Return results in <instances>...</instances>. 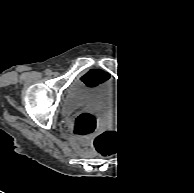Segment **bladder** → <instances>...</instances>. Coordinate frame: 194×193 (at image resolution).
I'll return each mask as SVG.
<instances>
[{
    "mask_svg": "<svg viewBox=\"0 0 194 193\" xmlns=\"http://www.w3.org/2000/svg\"><path fill=\"white\" fill-rule=\"evenodd\" d=\"M83 90L84 88L81 85L71 87L67 92L70 101L73 103L80 102L82 100Z\"/></svg>",
    "mask_w": 194,
    "mask_h": 193,
    "instance_id": "31cf9c89",
    "label": "bladder"
}]
</instances>
